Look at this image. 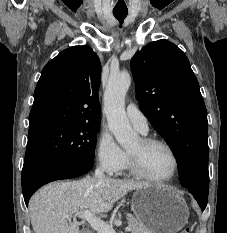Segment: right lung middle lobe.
Segmentation results:
<instances>
[{
    "instance_id": "dd1d6c3e",
    "label": "right lung middle lobe",
    "mask_w": 227,
    "mask_h": 233,
    "mask_svg": "<svg viewBox=\"0 0 227 233\" xmlns=\"http://www.w3.org/2000/svg\"><path fill=\"white\" fill-rule=\"evenodd\" d=\"M100 122H75L29 134L22 174L47 163H94Z\"/></svg>"
}]
</instances>
